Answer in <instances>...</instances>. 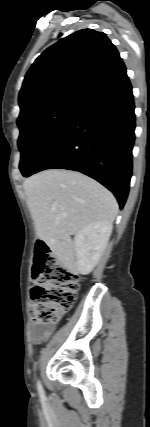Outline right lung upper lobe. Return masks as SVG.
Instances as JSON below:
<instances>
[{
    "mask_svg": "<svg viewBox=\"0 0 150 427\" xmlns=\"http://www.w3.org/2000/svg\"><path fill=\"white\" fill-rule=\"evenodd\" d=\"M125 73L105 33L79 30L47 48L33 63L19 93V117L48 105L79 106Z\"/></svg>",
    "mask_w": 150,
    "mask_h": 427,
    "instance_id": "cb5924a9",
    "label": "right lung upper lobe"
}]
</instances>
